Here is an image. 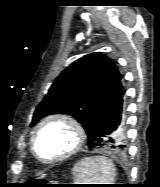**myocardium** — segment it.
Returning <instances> with one entry per match:
<instances>
[{"instance_id": "myocardium-1", "label": "myocardium", "mask_w": 160, "mask_h": 187, "mask_svg": "<svg viewBox=\"0 0 160 187\" xmlns=\"http://www.w3.org/2000/svg\"><path fill=\"white\" fill-rule=\"evenodd\" d=\"M53 122H60L68 126L74 134L75 142H74V145L71 147V149H69L65 153L52 159H44L38 154L36 150V140L41 130L46 125L53 123ZM85 138H86V134H85L84 127L76 118H74L73 116L69 114L56 113V114H52V115L45 117L37 124L31 136V150L34 156L40 162L45 163V164H53V163L60 162L64 159H67L73 156L74 154H76L82 148L85 142Z\"/></svg>"}]
</instances>
